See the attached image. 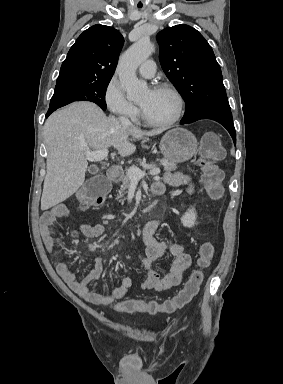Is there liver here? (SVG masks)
<instances>
[{"label": "liver", "mask_w": 283, "mask_h": 384, "mask_svg": "<svg viewBox=\"0 0 283 384\" xmlns=\"http://www.w3.org/2000/svg\"><path fill=\"white\" fill-rule=\"evenodd\" d=\"M162 132L124 126L117 118H107L92 102H74L57 110L44 124L48 156L41 210L64 202L82 186L88 166L87 150L114 146L120 156H131L136 146L128 142L130 136L140 140Z\"/></svg>", "instance_id": "liver-1"}]
</instances>
